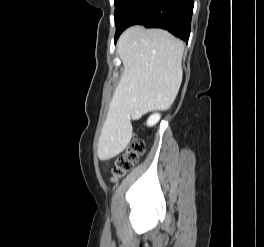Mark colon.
Segmentation results:
<instances>
[{"label": "colon", "instance_id": "5ec220e1", "mask_svg": "<svg viewBox=\"0 0 264 247\" xmlns=\"http://www.w3.org/2000/svg\"><path fill=\"white\" fill-rule=\"evenodd\" d=\"M144 151V142L140 139H134L130 145L115 158L111 169L112 180L116 181L132 169Z\"/></svg>", "mask_w": 264, "mask_h": 247}]
</instances>
